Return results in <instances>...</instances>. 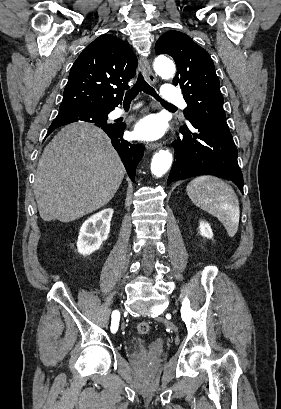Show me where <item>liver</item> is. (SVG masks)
Segmentation results:
<instances>
[{"instance_id":"1","label":"liver","mask_w":281,"mask_h":409,"mask_svg":"<svg viewBox=\"0 0 281 409\" xmlns=\"http://www.w3.org/2000/svg\"><path fill=\"white\" fill-rule=\"evenodd\" d=\"M126 170L109 136L93 122H72L44 148L34 194L43 221L69 223L105 207Z\"/></svg>"}]
</instances>
